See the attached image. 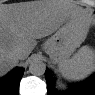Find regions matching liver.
Listing matches in <instances>:
<instances>
[{"label":"liver","mask_w":95,"mask_h":95,"mask_svg":"<svg viewBox=\"0 0 95 95\" xmlns=\"http://www.w3.org/2000/svg\"><path fill=\"white\" fill-rule=\"evenodd\" d=\"M79 17L89 28L90 20L80 8H63L52 2L5 4L0 7V67L3 73L25 60L36 39L51 35L69 18ZM21 48V59L13 50Z\"/></svg>","instance_id":"6515ba94"}]
</instances>
